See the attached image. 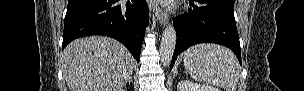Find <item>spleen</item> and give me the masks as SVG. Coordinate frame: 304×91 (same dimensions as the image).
I'll use <instances>...</instances> for the list:
<instances>
[{
  "label": "spleen",
  "instance_id": "1",
  "mask_svg": "<svg viewBox=\"0 0 304 91\" xmlns=\"http://www.w3.org/2000/svg\"><path fill=\"white\" fill-rule=\"evenodd\" d=\"M183 61L194 80L236 91L240 66L231 50L216 44H198L184 53Z\"/></svg>",
  "mask_w": 304,
  "mask_h": 91
}]
</instances>
